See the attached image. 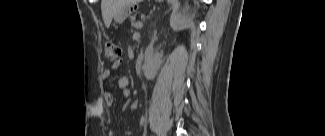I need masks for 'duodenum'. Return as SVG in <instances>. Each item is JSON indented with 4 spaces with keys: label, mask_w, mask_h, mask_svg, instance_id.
Returning <instances> with one entry per match:
<instances>
[{
    "label": "duodenum",
    "mask_w": 325,
    "mask_h": 136,
    "mask_svg": "<svg viewBox=\"0 0 325 136\" xmlns=\"http://www.w3.org/2000/svg\"><path fill=\"white\" fill-rule=\"evenodd\" d=\"M144 60H145L144 53H142V52L139 53V55L137 56L136 62H135V66H134V70L137 74L143 73Z\"/></svg>",
    "instance_id": "1"
}]
</instances>
